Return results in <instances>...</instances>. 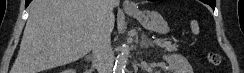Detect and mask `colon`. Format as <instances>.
I'll return each instance as SVG.
<instances>
[{
  "label": "colon",
  "mask_w": 244,
  "mask_h": 73,
  "mask_svg": "<svg viewBox=\"0 0 244 73\" xmlns=\"http://www.w3.org/2000/svg\"><path fill=\"white\" fill-rule=\"evenodd\" d=\"M211 64L218 66L221 63V56L218 53L211 52L208 55Z\"/></svg>",
  "instance_id": "1"
}]
</instances>
